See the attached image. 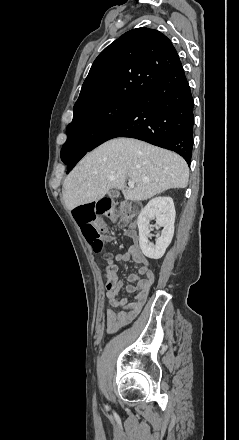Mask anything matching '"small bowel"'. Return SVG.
Returning <instances> with one entry per match:
<instances>
[{"label":"small bowel","instance_id":"obj_1","mask_svg":"<svg viewBox=\"0 0 239 440\" xmlns=\"http://www.w3.org/2000/svg\"><path fill=\"white\" fill-rule=\"evenodd\" d=\"M129 259L140 266L137 274H131L127 277L128 284L125 288L127 293L134 295V301L128 303L126 297L120 296L123 283L117 276V269L113 276L108 277L106 283V296L111 305L105 314L106 331L109 334L115 333L129 324L138 315L147 300L155 279L152 266L137 245H131L126 252L118 253L115 256V260L118 262H125Z\"/></svg>","mask_w":239,"mask_h":440}]
</instances>
